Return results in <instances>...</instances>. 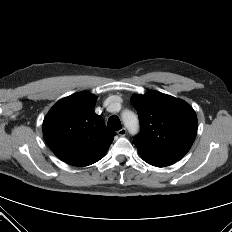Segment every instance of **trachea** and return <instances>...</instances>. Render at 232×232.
I'll use <instances>...</instances> for the list:
<instances>
[{
  "instance_id": "trachea-1",
  "label": "trachea",
  "mask_w": 232,
  "mask_h": 232,
  "mask_svg": "<svg viewBox=\"0 0 232 232\" xmlns=\"http://www.w3.org/2000/svg\"><path fill=\"white\" fill-rule=\"evenodd\" d=\"M108 127L113 131L120 130L122 128L119 118L115 115L108 119Z\"/></svg>"
}]
</instances>
